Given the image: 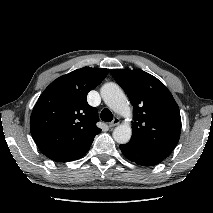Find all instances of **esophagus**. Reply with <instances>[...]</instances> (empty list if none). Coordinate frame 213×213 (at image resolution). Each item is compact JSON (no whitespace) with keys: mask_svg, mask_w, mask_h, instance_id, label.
I'll list each match as a JSON object with an SVG mask.
<instances>
[{"mask_svg":"<svg viewBox=\"0 0 213 213\" xmlns=\"http://www.w3.org/2000/svg\"><path fill=\"white\" fill-rule=\"evenodd\" d=\"M119 123H120V119L119 118H114L113 121L109 123V127H115Z\"/></svg>","mask_w":213,"mask_h":213,"instance_id":"obj_1","label":"esophagus"}]
</instances>
